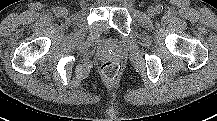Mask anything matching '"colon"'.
<instances>
[{
    "instance_id": "1",
    "label": "colon",
    "mask_w": 217,
    "mask_h": 121,
    "mask_svg": "<svg viewBox=\"0 0 217 121\" xmlns=\"http://www.w3.org/2000/svg\"><path fill=\"white\" fill-rule=\"evenodd\" d=\"M101 73L107 80H114L121 73V65L116 61H108L102 64Z\"/></svg>"
}]
</instances>
